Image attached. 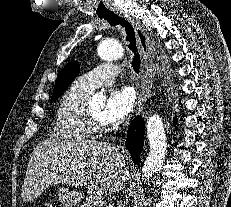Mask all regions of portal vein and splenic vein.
Returning <instances> with one entry per match:
<instances>
[{
	"mask_svg": "<svg viewBox=\"0 0 231 207\" xmlns=\"http://www.w3.org/2000/svg\"><path fill=\"white\" fill-rule=\"evenodd\" d=\"M96 199L101 203L102 201L104 202V197L103 196H96Z\"/></svg>",
	"mask_w": 231,
	"mask_h": 207,
	"instance_id": "1",
	"label": "portal vein and splenic vein"
}]
</instances>
